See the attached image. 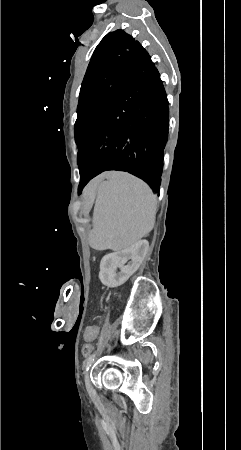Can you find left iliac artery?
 <instances>
[{"label": "left iliac artery", "mask_w": 241, "mask_h": 450, "mask_svg": "<svg viewBox=\"0 0 241 450\" xmlns=\"http://www.w3.org/2000/svg\"><path fill=\"white\" fill-rule=\"evenodd\" d=\"M94 357H95V355L92 354V355H90V356L87 358V360H86V362H85V371H88V370H89V367L91 366V364H92L93 361H94Z\"/></svg>", "instance_id": "44dca946"}]
</instances>
